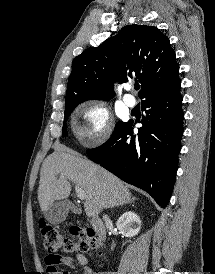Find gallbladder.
Wrapping results in <instances>:
<instances>
[{
    "label": "gallbladder",
    "mask_w": 215,
    "mask_h": 274,
    "mask_svg": "<svg viewBox=\"0 0 215 274\" xmlns=\"http://www.w3.org/2000/svg\"><path fill=\"white\" fill-rule=\"evenodd\" d=\"M69 211L77 213L79 209L69 200L56 201L44 212V216L49 223L60 224L66 219Z\"/></svg>",
    "instance_id": "gallbladder-1"
}]
</instances>
